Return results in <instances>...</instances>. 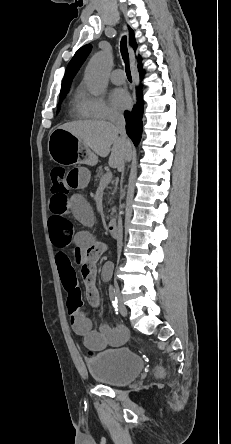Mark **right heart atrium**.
<instances>
[{
  "mask_svg": "<svg viewBox=\"0 0 231 444\" xmlns=\"http://www.w3.org/2000/svg\"><path fill=\"white\" fill-rule=\"evenodd\" d=\"M80 107L86 117L94 119H113L119 116L118 111L101 95L82 93Z\"/></svg>",
  "mask_w": 231,
  "mask_h": 444,
  "instance_id": "1",
  "label": "right heart atrium"
}]
</instances>
